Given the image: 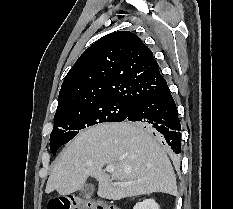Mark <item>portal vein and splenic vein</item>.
Masks as SVG:
<instances>
[{
    "mask_svg": "<svg viewBox=\"0 0 233 209\" xmlns=\"http://www.w3.org/2000/svg\"><path fill=\"white\" fill-rule=\"evenodd\" d=\"M106 171L112 173L114 171V167L109 165L106 167ZM115 185H122V183L116 182Z\"/></svg>",
    "mask_w": 233,
    "mask_h": 209,
    "instance_id": "portal-vein-and-splenic-vein-1",
    "label": "portal vein and splenic vein"
}]
</instances>
